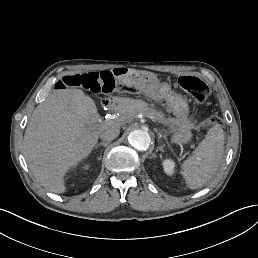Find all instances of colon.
Segmentation results:
<instances>
[{"mask_svg": "<svg viewBox=\"0 0 258 258\" xmlns=\"http://www.w3.org/2000/svg\"><path fill=\"white\" fill-rule=\"evenodd\" d=\"M179 85L197 103L204 102L209 95V87L196 76L186 75L179 78ZM67 87L81 88L92 93L102 94H126L136 92V88L130 82L116 80L111 71L89 72L76 75H68L57 84V89ZM211 124L219 122L217 118L210 117L207 120Z\"/></svg>", "mask_w": 258, "mask_h": 258, "instance_id": "colon-1", "label": "colon"}]
</instances>
